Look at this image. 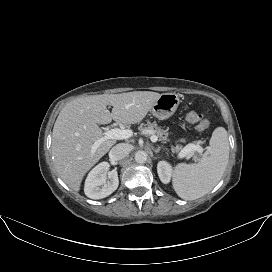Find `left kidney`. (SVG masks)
<instances>
[{
	"label": "left kidney",
	"instance_id": "obj_1",
	"mask_svg": "<svg viewBox=\"0 0 272 272\" xmlns=\"http://www.w3.org/2000/svg\"><path fill=\"white\" fill-rule=\"evenodd\" d=\"M157 172L160 180L164 184H168L172 176V167L166 161H159L157 164Z\"/></svg>",
	"mask_w": 272,
	"mask_h": 272
}]
</instances>
